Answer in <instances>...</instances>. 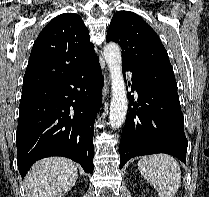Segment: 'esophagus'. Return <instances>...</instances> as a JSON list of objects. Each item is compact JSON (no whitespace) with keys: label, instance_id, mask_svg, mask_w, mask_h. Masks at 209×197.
Segmentation results:
<instances>
[{"label":"esophagus","instance_id":"obj_1","mask_svg":"<svg viewBox=\"0 0 209 197\" xmlns=\"http://www.w3.org/2000/svg\"><path fill=\"white\" fill-rule=\"evenodd\" d=\"M108 94H109V81H108V77H107L106 82H105V87L103 90V98L105 99Z\"/></svg>","mask_w":209,"mask_h":197}]
</instances>
